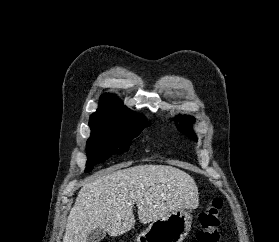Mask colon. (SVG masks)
I'll return each mask as SVG.
<instances>
[{"label": "colon", "instance_id": "colon-1", "mask_svg": "<svg viewBox=\"0 0 279 242\" xmlns=\"http://www.w3.org/2000/svg\"><path fill=\"white\" fill-rule=\"evenodd\" d=\"M222 207L223 201L219 197L213 198L209 201L205 210L199 215L201 229L190 242L219 241L220 212Z\"/></svg>", "mask_w": 279, "mask_h": 242}]
</instances>
